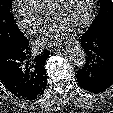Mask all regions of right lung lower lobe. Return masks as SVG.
Wrapping results in <instances>:
<instances>
[{
  "instance_id": "1",
  "label": "right lung lower lobe",
  "mask_w": 113,
  "mask_h": 113,
  "mask_svg": "<svg viewBox=\"0 0 113 113\" xmlns=\"http://www.w3.org/2000/svg\"><path fill=\"white\" fill-rule=\"evenodd\" d=\"M49 51L32 55L24 36L0 49V81L16 97L34 100L47 85L45 62Z\"/></svg>"
}]
</instances>
